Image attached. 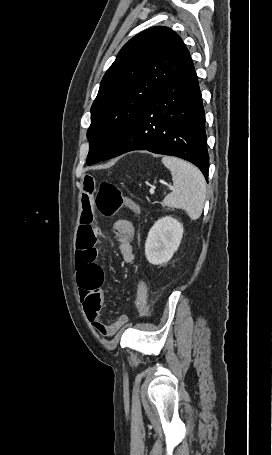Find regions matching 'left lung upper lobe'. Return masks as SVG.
Returning <instances> with one entry per match:
<instances>
[{"mask_svg":"<svg viewBox=\"0 0 272 455\" xmlns=\"http://www.w3.org/2000/svg\"><path fill=\"white\" fill-rule=\"evenodd\" d=\"M192 59L178 34L155 26L130 39L105 73L91 107L88 165L106 160L131 123Z\"/></svg>","mask_w":272,"mask_h":455,"instance_id":"1","label":"left lung upper lobe"}]
</instances>
